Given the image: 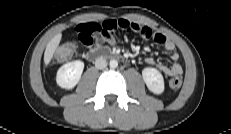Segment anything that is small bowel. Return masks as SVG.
Listing matches in <instances>:
<instances>
[{
    "label": "small bowel",
    "instance_id": "1",
    "mask_svg": "<svg viewBox=\"0 0 231 134\" xmlns=\"http://www.w3.org/2000/svg\"><path fill=\"white\" fill-rule=\"evenodd\" d=\"M117 29L125 30L128 33H136L143 38L151 39L155 43L160 44L170 53L172 64L170 66L159 65V70L167 76H178L183 72L180 63V55L175 44L164 34L154 31L148 26L131 22L127 19H109L101 23H83L75 27L77 39L86 47L92 46L94 43L100 45L103 42L113 44L115 42V32ZM146 64L153 66L155 61L153 58H146Z\"/></svg>",
    "mask_w": 231,
    "mask_h": 134
}]
</instances>
